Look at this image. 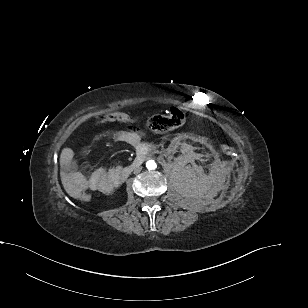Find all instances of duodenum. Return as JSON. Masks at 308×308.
I'll return each mask as SVG.
<instances>
[{
  "mask_svg": "<svg viewBox=\"0 0 308 308\" xmlns=\"http://www.w3.org/2000/svg\"><path fill=\"white\" fill-rule=\"evenodd\" d=\"M152 150V145L150 143H145L138 147V155L134 161L127 167H125L121 173H119V182L125 180L134 169L140 167L145 160L148 152Z\"/></svg>",
  "mask_w": 308,
  "mask_h": 308,
  "instance_id": "duodenum-1",
  "label": "duodenum"
}]
</instances>
